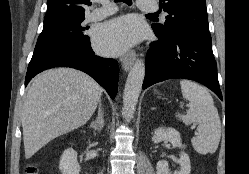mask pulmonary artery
<instances>
[{"instance_id":"1","label":"pulmonary artery","mask_w":249,"mask_h":174,"mask_svg":"<svg viewBox=\"0 0 249 174\" xmlns=\"http://www.w3.org/2000/svg\"><path fill=\"white\" fill-rule=\"evenodd\" d=\"M101 6L89 15L90 21L102 20L116 11V6L109 0H98ZM138 7L146 13H155L158 10V4L155 0H137ZM164 16V14H162Z\"/></svg>"}]
</instances>
